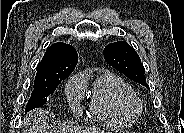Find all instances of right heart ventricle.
<instances>
[{"label":"right heart ventricle","mask_w":184,"mask_h":133,"mask_svg":"<svg viewBox=\"0 0 184 133\" xmlns=\"http://www.w3.org/2000/svg\"><path fill=\"white\" fill-rule=\"evenodd\" d=\"M78 77L83 81L87 75ZM133 97L135 93L128 83L119 76L104 71L96 76L92 84L90 111L103 122L125 126L138 116L127 105L128 100Z\"/></svg>","instance_id":"obj_1"}]
</instances>
